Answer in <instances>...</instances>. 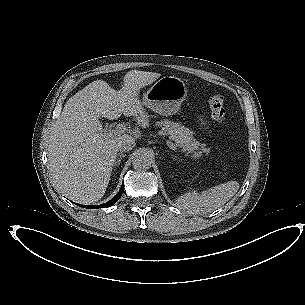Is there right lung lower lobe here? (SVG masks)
Here are the masks:
<instances>
[{
    "label": "right lung lower lobe",
    "instance_id": "98d812e1",
    "mask_svg": "<svg viewBox=\"0 0 305 305\" xmlns=\"http://www.w3.org/2000/svg\"><path fill=\"white\" fill-rule=\"evenodd\" d=\"M123 191H124V183L122 184V187H121L120 191L118 192V194L115 197H113L110 201H108L104 204H101V205H97V206L80 205V204H79V206L84 207V208H107V207H110L118 201V199L123 194Z\"/></svg>",
    "mask_w": 305,
    "mask_h": 305
}]
</instances>
